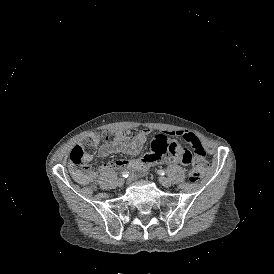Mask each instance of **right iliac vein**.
Listing matches in <instances>:
<instances>
[{
  "label": "right iliac vein",
  "mask_w": 274,
  "mask_h": 274,
  "mask_svg": "<svg viewBox=\"0 0 274 274\" xmlns=\"http://www.w3.org/2000/svg\"><path fill=\"white\" fill-rule=\"evenodd\" d=\"M125 183V180L123 178H119L117 181L118 186H123Z\"/></svg>",
  "instance_id": "63e3f726"
}]
</instances>
